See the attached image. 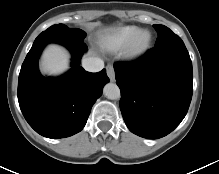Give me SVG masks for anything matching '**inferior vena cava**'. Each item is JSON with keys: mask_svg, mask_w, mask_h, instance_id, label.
Returning a JSON list of instances; mask_svg holds the SVG:
<instances>
[{"mask_svg": "<svg viewBox=\"0 0 219 174\" xmlns=\"http://www.w3.org/2000/svg\"><path fill=\"white\" fill-rule=\"evenodd\" d=\"M82 66L86 71L99 72L104 68V62L97 57H87L82 60Z\"/></svg>", "mask_w": 219, "mask_h": 174, "instance_id": "1", "label": "inferior vena cava"}]
</instances>
